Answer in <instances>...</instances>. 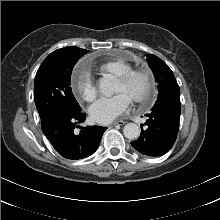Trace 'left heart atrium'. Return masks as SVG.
<instances>
[{
    "mask_svg": "<svg viewBox=\"0 0 220 220\" xmlns=\"http://www.w3.org/2000/svg\"><path fill=\"white\" fill-rule=\"evenodd\" d=\"M133 98L127 93H119L111 98H101L91 105V118L98 123L106 124L126 113Z\"/></svg>",
    "mask_w": 220,
    "mask_h": 220,
    "instance_id": "39dd6f15",
    "label": "left heart atrium"
}]
</instances>
